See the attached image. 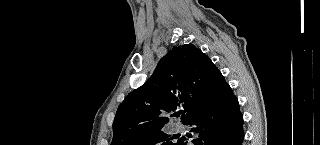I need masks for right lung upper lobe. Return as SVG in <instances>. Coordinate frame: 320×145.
Wrapping results in <instances>:
<instances>
[{
  "mask_svg": "<svg viewBox=\"0 0 320 145\" xmlns=\"http://www.w3.org/2000/svg\"><path fill=\"white\" fill-rule=\"evenodd\" d=\"M221 76L210 58L194 45L172 48L161 58L152 76L119 106L113 123L112 145H132L162 130L169 121L166 112L180 105L185 113L181 120L187 123L206 109Z\"/></svg>",
  "mask_w": 320,
  "mask_h": 145,
  "instance_id": "right-lung-upper-lobe-1",
  "label": "right lung upper lobe"
}]
</instances>
